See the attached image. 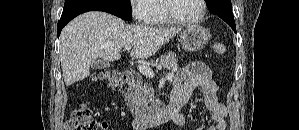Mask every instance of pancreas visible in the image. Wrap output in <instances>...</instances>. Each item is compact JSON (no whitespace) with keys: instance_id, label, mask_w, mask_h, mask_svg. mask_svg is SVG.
Instances as JSON below:
<instances>
[{"instance_id":"1","label":"pancreas","mask_w":299,"mask_h":130,"mask_svg":"<svg viewBox=\"0 0 299 130\" xmlns=\"http://www.w3.org/2000/svg\"><path fill=\"white\" fill-rule=\"evenodd\" d=\"M178 60L174 52H168L161 56L160 64L168 69L175 71L178 68ZM125 101L135 117L147 116L152 112L155 104L153 90L148 82L143 83L142 77L138 76L134 83L125 94Z\"/></svg>"}]
</instances>
